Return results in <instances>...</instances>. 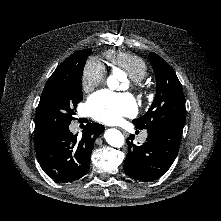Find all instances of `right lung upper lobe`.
I'll list each match as a JSON object with an SVG mask.
<instances>
[{"label": "right lung upper lobe", "instance_id": "right-lung-upper-lobe-1", "mask_svg": "<svg viewBox=\"0 0 221 221\" xmlns=\"http://www.w3.org/2000/svg\"><path fill=\"white\" fill-rule=\"evenodd\" d=\"M83 51L84 50L77 51V52L73 53L70 57H68L65 61H63L56 68V70L54 72H58V71H61V70L65 69V68H67L74 61V59H76V57L79 56ZM38 136H40V135H37V134L34 135L35 144H38V142H37Z\"/></svg>", "mask_w": 221, "mask_h": 221}]
</instances>
